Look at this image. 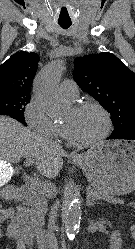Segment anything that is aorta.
Segmentation results:
<instances>
[{
  "mask_svg": "<svg viewBox=\"0 0 135 249\" xmlns=\"http://www.w3.org/2000/svg\"><path fill=\"white\" fill-rule=\"evenodd\" d=\"M65 70L63 60H56L41 72L34 85L36 100L49 114H59L64 110L63 99L59 91V81ZM68 202L65 211V228L70 239H74L79 232L81 208L77 196V187L71 184L66 191Z\"/></svg>",
  "mask_w": 135,
  "mask_h": 249,
  "instance_id": "aorta-1",
  "label": "aorta"
}]
</instances>
